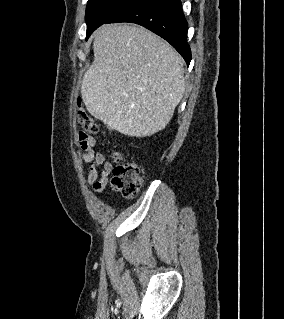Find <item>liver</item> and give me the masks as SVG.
<instances>
[{"mask_svg":"<svg viewBox=\"0 0 284 319\" xmlns=\"http://www.w3.org/2000/svg\"><path fill=\"white\" fill-rule=\"evenodd\" d=\"M93 38L81 87L87 111L132 137L164 129L185 91L182 57L140 26L103 25Z\"/></svg>","mask_w":284,"mask_h":319,"instance_id":"liver-1","label":"liver"}]
</instances>
